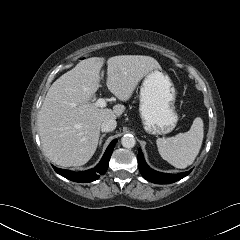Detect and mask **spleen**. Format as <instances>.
I'll use <instances>...</instances> for the list:
<instances>
[{"label": "spleen", "mask_w": 240, "mask_h": 240, "mask_svg": "<svg viewBox=\"0 0 240 240\" xmlns=\"http://www.w3.org/2000/svg\"><path fill=\"white\" fill-rule=\"evenodd\" d=\"M203 126V120L197 117L189 131L170 138H158L156 144L161 157L176 168L191 165L202 145Z\"/></svg>", "instance_id": "3e777b00"}]
</instances>
